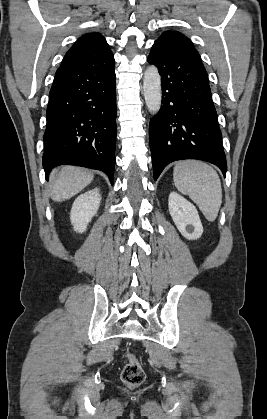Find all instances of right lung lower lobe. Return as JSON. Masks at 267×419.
<instances>
[{"label": "right lung lower lobe", "instance_id": "obj_1", "mask_svg": "<svg viewBox=\"0 0 267 419\" xmlns=\"http://www.w3.org/2000/svg\"><path fill=\"white\" fill-rule=\"evenodd\" d=\"M114 61L100 67H59L49 93L43 167L101 170L113 184L116 142Z\"/></svg>", "mask_w": 267, "mask_h": 419}]
</instances>
